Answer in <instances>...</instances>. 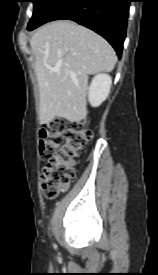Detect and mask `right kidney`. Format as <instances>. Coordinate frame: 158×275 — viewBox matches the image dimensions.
Segmentation results:
<instances>
[{"instance_id": "ca27d5eb", "label": "right kidney", "mask_w": 158, "mask_h": 275, "mask_svg": "<svg viewBox=\"0 0 158 275\" xmlns=\"http://www.w3.org/2000/svg\"><path fill=\"white\" fill-rule=\"evenodd\" d=\"M112 79L108 74L96 75L89 87V102L93 107L99 106L109 95Z\"/></svg>"}]
</instances>
